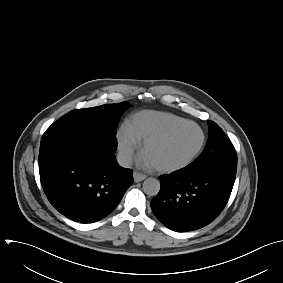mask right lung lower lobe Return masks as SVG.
Wrapping results in <instances>:
<instances>
[{
  "instance_id": "98d812e1",
  "label": "right lung lower lobe",
  "mask_w": 283,
  "mask_h": 283,
  "mask_svg": "<svg viewBox=\"0 0 283 283\" xmlns=\"http://www.w3.org/2000/svg\"><path fill=\"white\" fill-rule=\"evenodd\" d=\"M115 135L89 132L70 136L39 152L43 190L52 206L81 223L101 220L133 184L132 170L115 159Z\"/></svg>"
}]
</instances>
